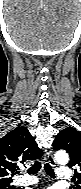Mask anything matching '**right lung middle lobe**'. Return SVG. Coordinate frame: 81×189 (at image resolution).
<instances>
[{"label": "right lung middle lobe", "instance_id": "right-lung-middle-lobe-1", "mask_svg": "<svg viewBox=\"0 0 81 189\" xmlns=\"http://www.w3.org/2000/svg\"><path fill=\"white\" fill-rule=\"evenodd\" d=\"M0 189H15V188L11 184H8V185H2V186H0Z\"/></svg>", "mask_w": 81, "mask_h": 189}]
</instances>
